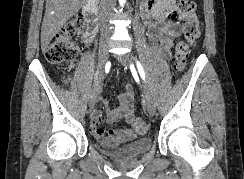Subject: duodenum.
<instances>
[{
    "label": "duodenum",
    "mask_w": 244,
    "mask_h": 179,
    "mask_svg": "<svg viewBox=\"0 0 244 179\" xmlns=\"http://www.w3.org/2000/svg\"><path fill=\"white\" fill-rule=\"evenodd\" d=\"M98 12L97 0H87L82 10L83 17L87 20L90 28V37L95 33V17Z\"/></svg>",
    "instance_id": "410a0bca"
}]
</instances>
